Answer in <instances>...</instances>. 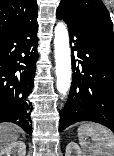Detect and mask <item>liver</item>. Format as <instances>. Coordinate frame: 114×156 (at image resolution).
Masks as SVG:
<instances>
[{
	"label": "liver",
	"instance_id": "1",
	"mask_svg": "<svg viewBox=\"0 0 114 156\" xmlns=\"http://www.w3.org/2000/svg\"><path fill=\"white\" fill-rule=\"evenodd\" d=\"M21 129L12 123H0V151L17 141Z\"/></svg>",
	"mask_w": 114,
	"mask_h": 156
}]
</instances>
